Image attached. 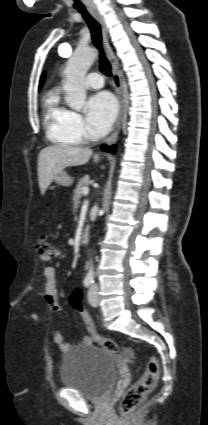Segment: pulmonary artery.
Listing matches in <instances>:
<instances>
[{"mask_svg": "<svg viewBox=\"0 0 208 425\" xmlns=\"http://www.w3.org/2000/svg\"><path fill=\"white\" fill-rule=\"evenodd\" d=\"M85 85L91 89H100L104 85L103 77L97 72H91L85 79Z\"/></svg>", "mask_w": 208, "mask_h": 425, "instance_id": "1", "label": "pulmonary artery"}]
</instances>
